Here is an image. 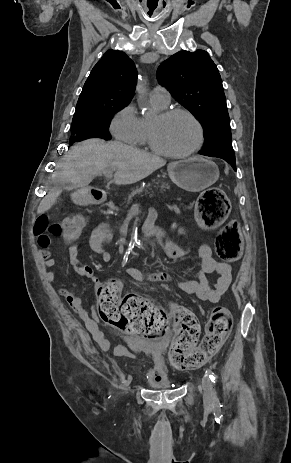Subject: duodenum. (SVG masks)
<instances>
[{
	"label": "duodenum",
	"mask_w": 291,
	"mask_h": 463,
	"mask_svg": "<svg viewBox=\"0 0 291 463\" xmlns=\"http://www.w3.org/2000/svg\"><path fill=\"white\" fill-rule=\"evenodd\" d=\"M89 195H90V201L92 203H101L106 200V193L102 189H92ZM151 226H154V220H149L147 223V226L145 227L150 228Z\"/></svg>",
	"instance_id": "410a0bca"
}]
</instances>
